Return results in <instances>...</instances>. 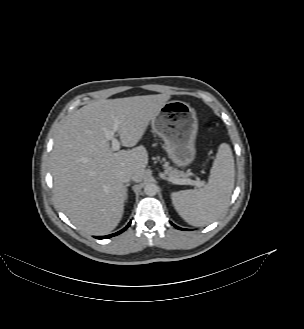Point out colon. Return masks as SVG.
I'll use <instances>...</instances> for the list:
<instances>
[{
    "mask_svg": "<svg viewBox=\"0 0 304 329\" xmlns=\"http://www.w3.org/2000/svg\"><path fill=\"white\" fill-rule=\"evenodd\" d=\"M205 128L207 129V130H210L211 129V124L210 123H205Z\"/></svg>",
    "mask_w": 304,
    "mask_h": 329,
    "instance_id": "5ec220e1",
    "label": "colon"
}]
</instances>
